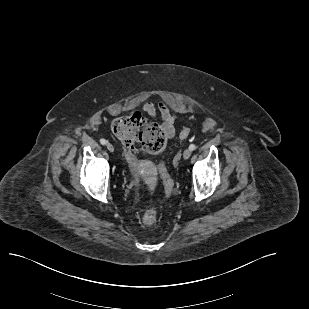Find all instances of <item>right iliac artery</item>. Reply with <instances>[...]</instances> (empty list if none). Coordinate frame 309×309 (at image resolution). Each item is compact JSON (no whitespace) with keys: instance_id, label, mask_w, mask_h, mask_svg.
<instances>
[{"instance_id":"obj_1","label":"right iliac artery","mask_w":309,"mask_h":309,"mask_svg":"<svg viewBox=\"0 0 309 309\" xmlns=\"http://www.w3.org/2000/svg\"><path fill=\"white\" fill-rule=\"evenodd\" d=\"M100 143H101L102 145H106V144H107V141H106L105 139L102 138V139L100 140Z\"/></svg>"}]
</instances>
